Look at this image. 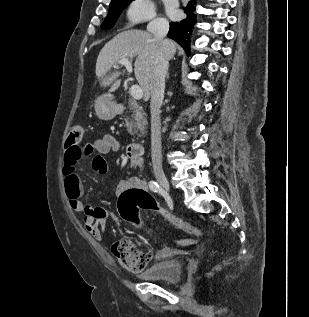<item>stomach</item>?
Here are the masks:
<instances>
[{
    "mask_svg": "<svg viewBox=\"0 0 309 317\" xmlns=\"http://www.w3.org/2000/svg\"><path fill=\"white\" fill-rule=\"evenodd\" d=\"M97 116L102 120H111L117 114V107L113 96L109 93L97 97L94 101Z\"/></svg>",
    "mask_w": 309,
    "mask_h": 317,
    "instance_id": "stomach-1",
    "label": "stomach"
}]
</instances>
